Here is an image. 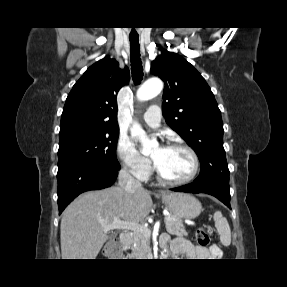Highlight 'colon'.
Here are the masks:
<instances>
[{
    "label": "colon",
    "mask_w": 287,
    "mask_h": 287,
    "mask_svg": "<svg viewBox=\"0 0 287 287\" xmlns=\"http://www.w3.org/2000/svg\"><path fill=\"white\" fill-rule=\"evenodd\" d=\"M197 242L200 246L206 247L211 243V237L208 231L205 228H200L197 232ZM113 253H117L119 251V247L117 244L111 246Z\"/></svg>",
    "instance_id": "colon-1"
}]
</instances>
